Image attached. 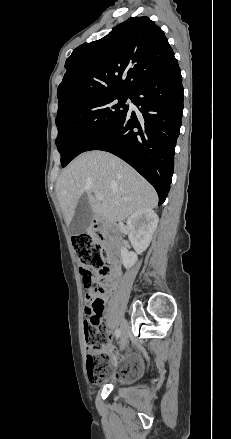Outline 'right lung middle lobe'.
<instances>
[{"instance_id": "right-lung-middle-lobe-1", "label": "right lung middle lobe", "mask_w": 231, "mask_h": 439, "mask_svg": "<svg viewBox=\"0 0 231 439\" xmlns=\"http://www.w3.org/2000/svg\"><path fill=\"white\" fill-rule=\"evenodd\" d=\"M130 94L96 97L81 101L56 117V145L65 167L128 110Z\"/></svg>"}]
</instances>
